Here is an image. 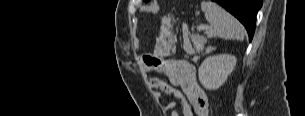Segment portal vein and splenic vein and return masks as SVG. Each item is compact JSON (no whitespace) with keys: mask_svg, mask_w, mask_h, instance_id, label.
<instances>
[{"mask_svg":"<svg viewBox=\"0 0 305 116\" xmlns=\"http://www.w3.org/2000/svg\"><path fill=\"white\" fill-rule=\"evenodd\" d=\"M197 29L198 30H207V29H209V26L206 24H202V25H199Z\"/></svg>","mask_w":305,"mask_h":116,"instance_id":"obj_1","label":"portal vein and splenic vein"}]
</instances>
